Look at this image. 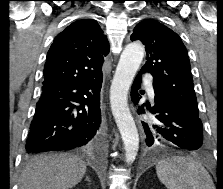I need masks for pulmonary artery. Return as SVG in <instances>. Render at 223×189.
<instances>
[{
  "label": "pulmonary artery",
  "instance_id": "obj_1",
  "mask_svg": "<svg viewBox=\"0 0 223 189\" xmlns=\"http://www.w3.org/2000/svg\"><path fill=\"white\" fill-rule=\"evenodd\" d=\"M145 78L149 79L148 76H146ZM147 88H148V92H149L150 97L154 98V90H153L152 84L148 83Z\"/></svg>",
  "mask_w": 223,
  "mask_h": 189
}]
</instances>
